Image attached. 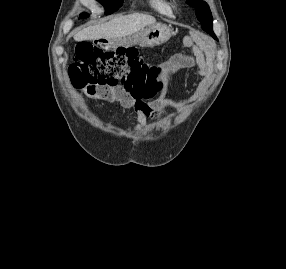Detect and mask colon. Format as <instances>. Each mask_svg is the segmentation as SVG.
Masks as SVG:
<instances>
[{
    "mask_svg": "<svg viewBox=\"0 0 286 269\" xmlns=\"http://www.w3.org/2000/svg\"><path fill=\"white\" fill-rule=\"evenodd\" d=\"M162 67L146 63L134 48L103 49L91 42L76 47L70 69L74 86L109 89L123 86L134 96H148L162 89Z\"/></svg>",
    "mask_w": 286,
    "mask_h": 269,
    "instance_id": "colon-1",
    "label": "colon"
}]
</instances>
